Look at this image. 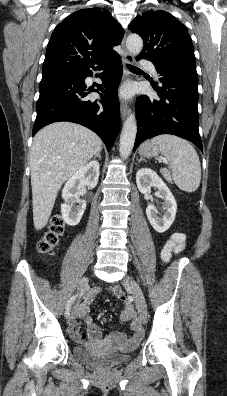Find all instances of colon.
Masks as SVG:
<instances>
[{
  "label": "colon",
  "mask_w": 227,
  "mask_h": 396,
  "mask_svg": "<svg viewBox=\"0 0 227 396\" xmlns=\"http://www.w3.org/2000/svg\"><path fill=\"white\" fill-rule=\"evenodd\" d=\"M63 230H64V223L61 217L59 216L54 217L52 219L48 232L38 242L39 252L43 254H47L51 252L58 245ZM120 298L124 299V295L120 294Z\"/></svg>",
  "instance_id": "colon-1"
}]
</instances>
